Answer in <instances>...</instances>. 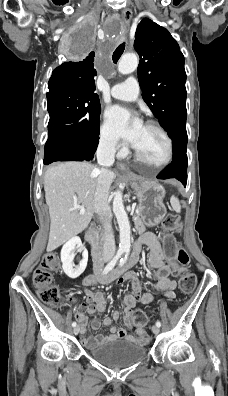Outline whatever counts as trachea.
<instances>
[{"mask_svg":"<svg viewBox=\"0 0 228 396\" xmlns=\"http://www.w3.org/2000/svg\"><path fill=\"white\" fill-rule=\"evenodd\" d=\"M125 50V43H121L116 50L113 53L112 59L114 63H117L118 60L120 59L121 55L123 54Z\"/></svg>","mask_w":228,"mask_h":396,"instance_id":"trachea-1","label":"trachea"}]
</instances>
